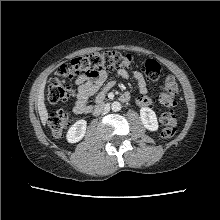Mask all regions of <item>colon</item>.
I'll use <instances>...</instances> for the list:
<instances>
[{
	"label": "colon",
	"mask_w": 220,
	"mask_h": 220,
	"mask_svg": "<svg viewBox=\"0 0 220 220\" xmlns=\"http://www.w3.org/2000/svg\"><path fill=\"white\" fill-rule=\"evenodd\" d=\"M132 65L133 58L130 55L117 51H105L76 57L69 64L60 66L52 76L48 86V101L57 104L69 100L74 95L70 80L79 73L93 75L97 70L124 69L131 68ZM143 71L148 78L155 80L160 74L161 66L156 60L148 59L144 62ZM177 92L176 79L171 75L166 76L159 94V101L166 108L160 116V121L164 126L161 137L164 139L171 138L175 134L177 117L173 108ZM68 124V115L62 110L52 112L49 115V127L54 137H60Z\"/></svg>",
	"instance_id": "5ec220e1"
}]
</instances>
